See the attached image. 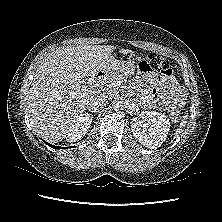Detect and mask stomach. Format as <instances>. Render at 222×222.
Instances as JSON below:
<instances>
[{"label":"stomach","mask_w":222,"mask_h":222,"mask_svg":"<svg viewBox=\"0 0 222 222\" xmlns=\"http://www.w3.org/2000/svg\"><path fill=\"white\" fill-rule=\"evenodd\" d=\"M134 71L135 67L132 63L125 61L120 62L119 72L121 73V75L125 77L132 76L134 74Z\"/></svg>","instance_id":"1"}]
</instances>
